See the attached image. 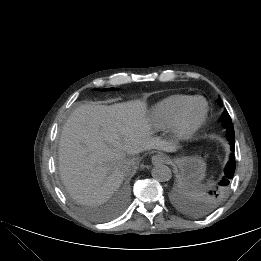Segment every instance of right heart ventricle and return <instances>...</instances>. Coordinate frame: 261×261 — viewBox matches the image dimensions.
Here are the masks:
<instances>
[{
    "instance_id": "1",
    "label": "right heart ventricle",
    "mask_w": 261,
    "mask_h": 261,
    "mask_svg": "<svg viewBox=\"0 0 261 261\" xmlns=\"http://www.w3.org/2000/svg\"><path fill=\"white\" fill-rule=\"evenodd\" d=\"M193 96L185 94L170 95L157 102L151 109L150 123L154 130H164L172 126L180 109Z\"/></svg>"
}]
</instances>
